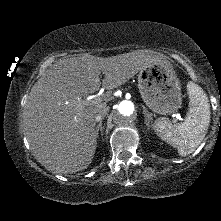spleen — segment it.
<instances>
[{
  "label": "spleen",
  "mask_w": 221,
  "mask_h": 221,
  "mask_svg": "<svg viewBox=\"0 0 221 221\" xmlns=\"http://www.w3.org/2000/svg\"><path fill=\"white\" fill-rule=\"evenodd\" d=\"M189 112L183 122L172 124L167 118H158L153 127L166 143L177 148L180 156L194 152L203 141L210 123V105L207 94L196 83H187Z\"/></svg>",
  "instance_id": "spleen-1"
}]
</instances>
